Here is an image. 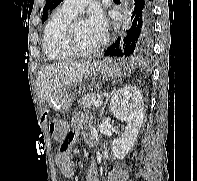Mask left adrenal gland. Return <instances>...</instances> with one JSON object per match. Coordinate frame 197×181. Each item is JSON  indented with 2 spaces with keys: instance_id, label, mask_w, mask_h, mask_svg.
Segmentation results:
<instances>
[{
  "instance_id": "a2214340",
  "label": "left adrenal gland",
  "mask_w": 197,
  "mask_h": 181,
  "mask_svg": "<svg viewBox=\"0 0 197 181\" xmlns=\"http://www.w3.org/2000/svg\"><path fill=\"white\" fill-rule=\"evenodd\" d=\"M114 91L112 92V94L106 99L105 103L103 104L101 110H100V116L102 117L104 115V112H105V107H106V104L108 103V100L110 99V97H112Z\"/></svg>"
}]
</instances>
